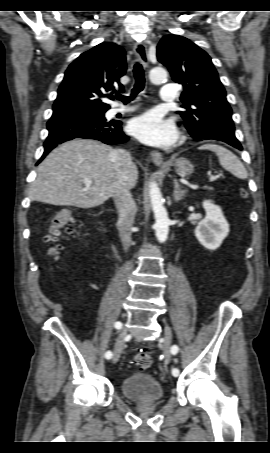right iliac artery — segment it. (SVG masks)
I'll return each mask as SVG.
<instances>
[{
	"instance_id": "obj_1",
	"label": "right iliac artery",
	"mask_w": 270,
	"mask_h": 453,
	"mask_svg": "<svg viewBox=\"0 0 270 453\" xmlns=\"http://www.w3.org/2000/svg\"><path fill=\"white\" fill-rule=\"evenodd\" d=\"M121 327H122L121 322H116V323H115V328L120 329ZM105 357H106L107 359H110V358L112 357V352H111V351H107V352L105 353Z\"/></svg>"
}]
</instances>
